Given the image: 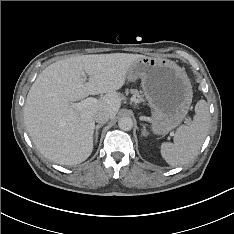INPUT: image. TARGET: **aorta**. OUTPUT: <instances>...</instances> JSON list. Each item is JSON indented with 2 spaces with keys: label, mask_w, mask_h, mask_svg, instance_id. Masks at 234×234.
Listing matches in <instances>:
<instances>
[{
  "label": "aorta",
  "mask_w": 234,
  "mask_h": 234,
  "mask_svg": "<svg viewBox=\"0 0 234 234\" xmlns=\"http://www.w3.org/2000/svg\"><path fill=\"white\" fill-rule=\"evenodd\" d=\"M118 126L121 130L129 131L133 128V120L129 116H123L119 119Z\"/></svg>",
  "instance_id": "762f6f07"
}]
</instances>
